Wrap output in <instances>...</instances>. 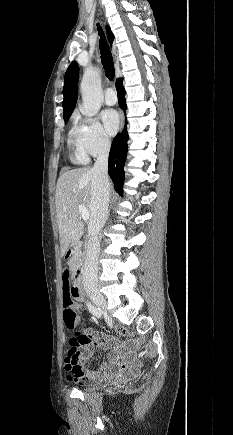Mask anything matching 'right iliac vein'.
I'll return each mask as SVG.
<instances>
[{"label": "right iliac vein", "mask_w": 233, "mask_h": 435, "mask_svg": "<svg viewBox=\"0 0 233 435\" xmlns=\"http://www.w3.org/2000/svg\"><path fill=\"white\" fill-rule=\"evenodd\" d=\"M89 297L91 298V300L98 306L100 307L102 310H106L107 308V302L104 298V296L96 291H89L88 292Z\"/></svg>", "instance_id": "right-iliac-vein-1"}]
</instances>
